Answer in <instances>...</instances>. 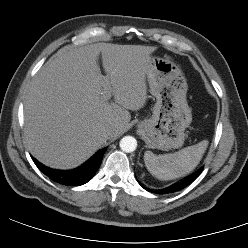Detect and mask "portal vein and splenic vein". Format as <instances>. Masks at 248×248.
<instances>
[{
	"mask_svg": "<svg viewBox=\"0 0 248 248\" xmlns=\"http://www.w3.org/2000/svg\"><path fill=\"white\" fill-rule=\"evenodd\" d=\"M104 93L106 94L107 98L111 97V87H110V85H108V84L105 85Z\"/></svg>",
	"mask_w": 248,
	"mask_h": 248,
	"instance_id": "1",
	"label": "portal vein and splenic vein"
}]
</instances>
